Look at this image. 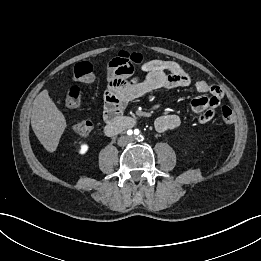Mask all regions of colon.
I'll list each match as a JSON object with an SVG mask.
<instances>
[{"mask_svg":"<svg viewBox=\"0 0 261 261\" xmlns=\"http://www.w3.org/2000/svg\"><path fill=\"white\" fill-rule=\"evenodd\" d=\"M114 61L129 70H132L134 65L144 63V59L141 54L129 53L126 51H121ZM73 78L78 83L91 82L94 79L93 67L91 63L86 61L77 63L73 70ZM81 99L82 91L78 85H74L68 90L65 96V104L67 107H76L81 102ZM221 119L227 125H231L234 122L235 117L231 108L228 106L222 107ZM73 129L78 135L87 136L91 133L93 124L90 120L84 119L77 122L73 126Z\"/></svg>","mask_w":261,"mask_h":261,"instance_id":"obj_1","label":"colon"}]
</instances>
